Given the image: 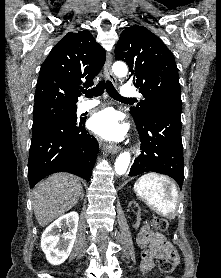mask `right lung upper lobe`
<instances>
[{
    "instance_id": "right-lung-upper-lobe-1",
    "label": "right lung upper lobe",
    "mask_w": 221,
    "mask_h": 278,
    "mask_svg": "<svg viewBox=\"0 0 221 278\" xmlns=\"http://www.w3.org/2000/svg\"><path fill=\"white\" fill-rule=\"evenodd\" d=\"M105 60L104 49L88 30L69 32L40 68L34 105L48 101L76 103L82 85H93Z\"/></svg>"
}]
</instances>
